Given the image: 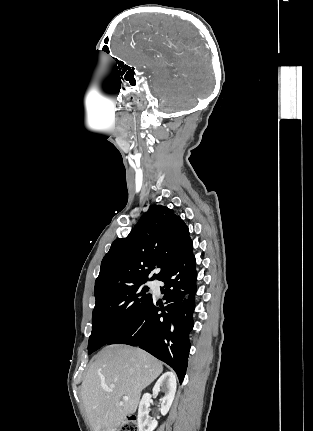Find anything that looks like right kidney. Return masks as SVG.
Returning a JSON list of instances; mask_svg holds the SVG:
<instances>
[{
  "label": "right kidney",
  "instance_id": "ca27d5eb",
  "mask_svg": "<svg viewBox=\"0 0 313 431\" xmlns=\"http://www.w3.org/2000/svg\"><path fill=\"white\" fill-rule=\"evenodd\" d=\"M176 377L172 372L164 373L153 387V396H156L160 391L165 395L160 399L161 414L166 415L172 405L176 392ZM151 402V394L143 395L138 409V429L139 431H153L158 422L149 416V406Z\"/></svg>",
  "mask_w": 313,
  "mask_h": 431
}]
</instances>
